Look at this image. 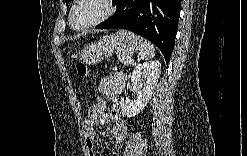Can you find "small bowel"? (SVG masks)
<instances>
[{"mask_svg":"<svg viewBox=\"0 0 247 156\" xmlns=\"http://www.w3.org/2000/svg\"><path fill=\"white\" fill-rule=\"evenodd\" d=\"M123 90V77L121 74L114 73L104 77L99 84V91L102 93L104 98L113 101L110 114L106 113V103L100 109L101 118L94 121L93 124L89 123L87 118L83 124V133L85 136L86 147L90 156L94 155V144L99 141V137L95 134L94 128L98 125H106L113 120L114 125L111 129L112 137L117 144L121 147L125 141L128 133L127 125L122 117V113L117 106V97ZM93 107V105L91 106ZM91 107L89 110H91Z\"/></svg>","mask_w":247,"mask_h":156,"instance_id":"c3829d8e","label":"small bowel"}]
</instances>
